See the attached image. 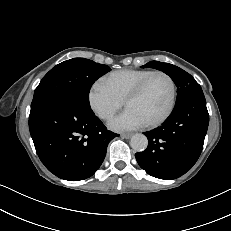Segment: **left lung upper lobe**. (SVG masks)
I'll return each instance as SVG.
<instances>
[{
    "label": "left lung upper lobe",
    "mask_w": 231,
    "mask_h": 231,
    "mask_svg": "<svg viewBox=\"0 0 231 231\" xmlns=\"http://www.w3.org/2000/svg\"><path fill=\"white\" fill-rule=\"evenodd\" d=\"M142 67L155 68L169 75L177 86V101L182 98L188 90L200 88V85L190 74L175 65L151 61Z\"/></svg>",
    "instance_id": "left-lung-upper-lobe-1"
}]
</instances>
